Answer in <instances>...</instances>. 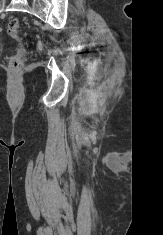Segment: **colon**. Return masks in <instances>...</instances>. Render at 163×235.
Returning <instances> with one entry per match:
<instances>
[{"label":"colon","mask_w":163,"mask_h":235,"mask_svg":"<svg viewBox=\"0 0 163 235\" xmlns=\"http://www.w3.org/2000/svg\"><path fill=\"white\" fill-rule=\"evenodd\" d=\"M19 28H20L19 21L17 19H12L7 25L8 35L13 39L19 40L20 39ZM25 56H26L25 48L20 47L17 50V53L11 58L10 69L13 73L18 72L21 69Z\"/></svg>","instance_id":"1"}]
</instances>
